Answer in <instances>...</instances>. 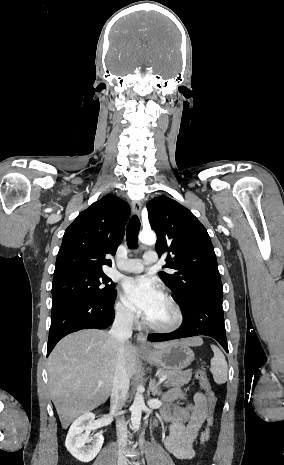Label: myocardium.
Here are the masks:
<instances>
[{
    "label": "myocardium",
    "mask_w": 284,
    "mask_h": 465,
    "mask_svg": "<svg viewBox=\"0 0 284 465\" xmlns=\"http://www.w3.org/2000/svg\"><path fill=\"white\" fill-rule=\"evenodd\" d=\"M162 298L166 300V302L168 303V305L170 306L173 312V315H174L173 322L166 326H156L154 324H151L147 318H144L143 322L146 328L155 334H161V335L172 334L175 331H177L182 325L183 313L181 311L180 306L177 304V302L172 296H170L167 293H163Z\"/></svg>",
    "instance_id": "f54148a6"
}]
</instances>
